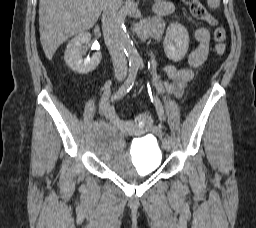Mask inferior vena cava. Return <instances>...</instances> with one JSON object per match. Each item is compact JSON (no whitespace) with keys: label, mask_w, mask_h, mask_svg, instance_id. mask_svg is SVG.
I'll return each mask as SVG.
<instances>
[{"label":"inferior vena cava","mask_w":256,"mask_h":228,"mask_svg":"<svg viewBox=\"0 0 256 228\" xmlns=\"http://www.w3.org/2000/svg\"><path fill=\"white\" fill-rule=\"evenodd\" d=\"M121 0H104L102 30L105 44L111 55L116 76H126L127 60L119 36L118 10Z\"/></svg>","instance_id":"inferior-vena-cava-1"}]
</instances>
